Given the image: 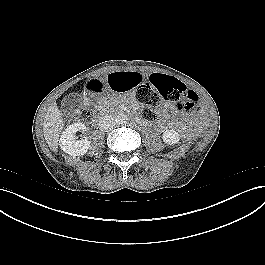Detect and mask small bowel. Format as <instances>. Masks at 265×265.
Listing matches in <instances>:
<instances>
[{
  "instance_id": "1",
  "label": "small bowel",
  "mask_w": 265,
  "mask_h": 265,
  "mask_svg": "<svg viewBox=\"0 0 265 265\" xmlns=\"http://www.w3.org/2000/svg\"><path fill=\"white\" fill-rule=\"evenodd\" d=\"M143 77L139 71L132 70L126 73L119 72L103 78H94L88 82L87 88L91 94L98 95L104 91L105 87L112 88L115 92L121 93L126 89H133L142 83ZM172 106L166 104L160 112L162 119L169 116ZM171 127H179L178 122H172ZM163 127V126H162Z\"/></svg>"
}]
</instances>
